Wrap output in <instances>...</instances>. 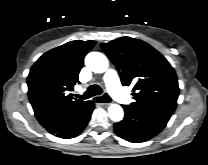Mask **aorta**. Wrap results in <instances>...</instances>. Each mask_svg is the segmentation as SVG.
<instances>
[{
    "label": "aorta",
    "mask_w": 208,
    "mask_h": 165,
    "mask_svg": "<svg viewBox=\"0 0 208 165\" xmlns=\"http://www.w3.org/2000/svg\"><path fill=\"white\" fill-rule=\"evenodd\" d=\"M86 66L95 73H104L109 67L107 57L100 52H90L85 57ZM108 114L111 120L119 122L123 119V108L118 104H111L108 108Z\"/></svg>",
    "instance_id": "aorta-1"
}]
</instances>
